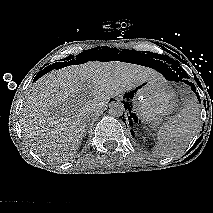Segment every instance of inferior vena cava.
<instances>
[{"mask_svg": "<svg viewBox=\"0 0 213 213\" xmlns=\"http://www.w3.org/2000/svg\"><path fill=\"white\" fill-rule=\"evenodd\" d=\"M96 114H97V112H92L91 114L89 113V114H87V119H92V118H95L96 117Z\"/></svg>", "mask_w": 213, "mask_h": 213, "instance_id": "602c4592", "label": "inferior vena cava"}]
</instances>
